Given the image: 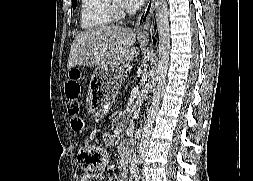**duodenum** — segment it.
<instances>
[{"mask_svg":"<svg viewBox=\"0 0 253 181\" xmlns=\"http://www.w3.org/2000/svg\"><path fill=\"white\" fill-rule=\"evenodd\" d=\"M142 135V128L139 129L137 132H136V136L137 137H140Z\"/></svg>","mask_w":253,"mask_h":181,"instance_id":"duodenum-1","label":"duodenum"}]
</instances>
